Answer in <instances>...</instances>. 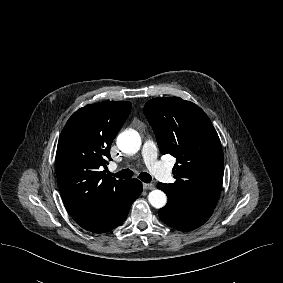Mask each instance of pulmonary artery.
<instances>
[{
	"mask_svg": "<svg viewBox=\"0 0 283 283\" xmlns=\"http://www.w3.org/2000/svg\"><path fill=\"white\" fill-rule=\"evenodd\" d=\"M142 157L148 169L161 181L169 182L172 178L170 169L157 159V148L154 142L146 139L142 146ZM113 164V167H117Z\"/></svg>",
	"mask_w": 283,
	"mask_h": 283,
	"instance_id": "e3ab8cb5",
	"label": "pulmonary artery"
}]
</instances>
